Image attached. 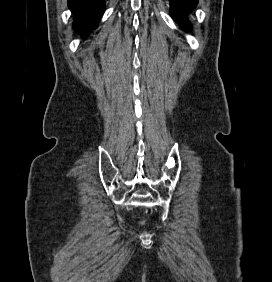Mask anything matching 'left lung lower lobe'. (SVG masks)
Listing matches in <instances>:
<instances>
[{
  "label": "left lung lower lobe",
  "instance_id": "1",
  "mask_svg": "<svg viewBox=\"0 0 272 282\" xmlns=\"http://www.w3.org/2000/svg\"><path fill=\"white\" fill-rule=\"evenodd\" d=\"M198 0H170L172 17L183 27H188L187 14L197 5Z\"/></svg>",
  "mask_w": 272,
  "mask_h": 282
}]
</instances>
